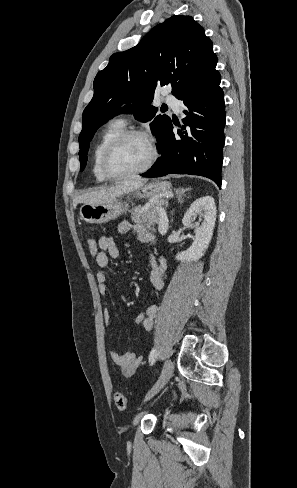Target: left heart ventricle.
<instances>
[{
    "instance_id": "1",
    "label": "left heart ventricle",
    "mask_w": 297,
    "mask_h": 488,
    "mask_svg": "<svg viewBox=\"0 0 297 488\" xmlns=\"http://www.w3.org/2000/svg\"><path fill=\"white\" fill-rule=\"evenodd\" d=\"M151 155L149 142L132 137L123 142L111 155L109 166L113 173L125 174L144 166Z\"/></svg>"
}]
</instances>
